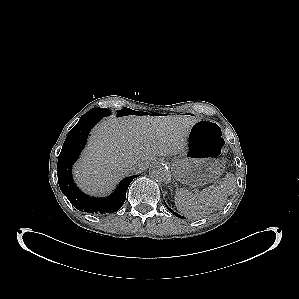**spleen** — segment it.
<instances>
[{"label":"spleen","instance_id":"3e777b00","mask_svg":"<svg viewBox=\"0 0 299 299\" xmlns=\"http://www.w3.org/2000/svg\"><path fill=\"white\" fill-rule=\"evenodd\" d=\"M236 187L234 174L228 173L220 185H212L200 192L177 188L175 205L177 210L189 218L199 219L223 207Z\"/></svg>","mask_w":299,"mask_h":299}]
</instances>
